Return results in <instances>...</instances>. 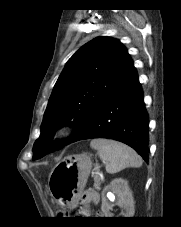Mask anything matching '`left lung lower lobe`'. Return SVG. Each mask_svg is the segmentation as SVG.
I'll use <instances>...</instances> for the list:
<instances>
[{"instance_id":"left-lung-lower-lobe-1","label":"left lung lower lobe","mask_w":181,"mask_h":227,"mask_svg":"<svg viewBox=\"0 0 181 227\" xmlns=\"http://www.w3.org/2000/svg\"><path fill=\"white\" fill-rule=\"evenodd\" d=\"M93 138L123 142L148 162L149 120L135 68L103 102L88 131L78 140Z\"/></svg>"}]
</instances>
